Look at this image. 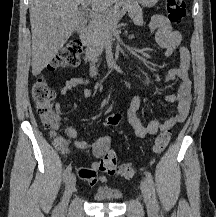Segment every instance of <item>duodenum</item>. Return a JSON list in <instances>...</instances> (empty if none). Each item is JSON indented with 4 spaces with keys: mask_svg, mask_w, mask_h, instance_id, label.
I'll list each match as a JSON object with an SVG mask.
<instances>
[{
    "mask_svg": "<svg viewBox=\"0 0 216 217\" xmlns=\"http://www.w3.org/2000/svg\"><path fill=\"white\" fill-rule=\"evenodd\" d=\"M87 33H88V28L87 27H83L80 31V37L82 40H85L87 37Z\"/></svg>",
    "mask_w": 216,
    "mask_h": 217,
    "instance_id": "duodenum-1",
    "label": "duodenum"
}]
</instances>
